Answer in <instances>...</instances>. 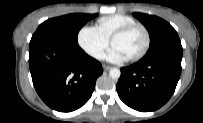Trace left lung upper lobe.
<instances>
[{
	"mask_svg": "<svg viewBox=\"0 0 203 123\" xmlns=\"http://www.w3.org/2000/svg\"><path fill=\"white\" fill-rule=\"evenodd\" d=\"M133 15L139 19L149 31L151 45L148 52L171 43L180 42L175 29L163 19L142 13H133Z\"/></svg>",
	"mask_w": 203,
	"mask_h": 123,
	"instance_id": "left-lung-upper-lobe-1",
	"label": "left lung upper lobe"
}]
</instances>
